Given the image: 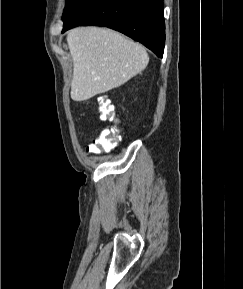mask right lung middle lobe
Instances as JSON below:
<instances>
[{
	"label": "right lung middle lobe",
	"instance_id": "obj_1",
	"mask_svg": "<svg viewBox=\"0 0 243 289\" xmlns=\"http://www.w3.org/2000/svg\"><path fill=\"white\" fill-rule=\"evenodd\" d=\"M81 0H66V5L64 8V13L62 16V20L67 19L78 7Z\"/></svg>",
	"mask_w": 243,
	"mask_h": 289
}]
</instances>
